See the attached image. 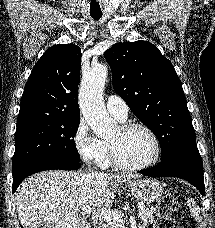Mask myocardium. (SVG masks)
<instances>
[{
    "mask_svg": "<svg viewBox=\"0 0 215 228\" xmlns=\"http://www.w3.org/2000/svg\"><path fill=\"white\" fill-rule=\"evenodd\" d=\"M120 128L123 131H127V130H130L133 128H140V129L144 130L152 141L153 151H152L151 156L142 164L130 166V165H126V164L122 163L118 159L115 147L109 141L108 147H109L110 162L114 167H116L119 170L125 171V172H137V171H141V170L148 168L149 166H151L153 163H155L158 160V158L160 156V142H159V139H158L156 133L150 126H148L142 122L130 121V122L123 123L120 126Z\"/></svg>",
    "mask_w": 215,
    "mask_h": 228,
    "instance_id": "1",
    "label": "myocardium"
}]
</instances>
